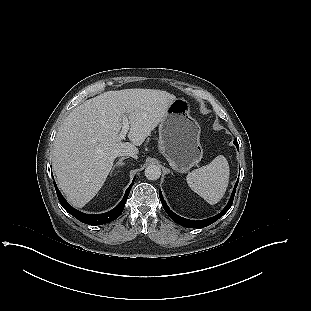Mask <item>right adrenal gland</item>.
<instances>
[{
  "mask_svg": "<svg viewBox=\"0 0 311 311\" xmlns=\"http://www.w3.org/2000/svg\"><path fill=\"white\" fill-rule=\"evenodd\" d=\"M127 158H128V157H122L121 159H119V161L113 166V170H114L116 167L123 166V165H124L123 160H124V159H127Z\"/></svg>",
  "mask_w": 311,
  "mask_h": 311,
  "instance_id": "right-adrenal-gland-1",
  "label": "right adrenal gland"
}]
</instances>
